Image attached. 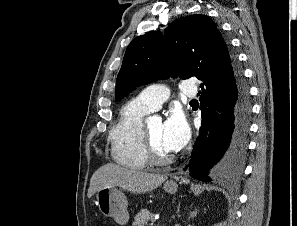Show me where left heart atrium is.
I'll use <instances>...</instances> for the list:
<instances>
[{"mask_svg": "<svg viewBox=\"0 0 297 226\" xmlns=\"http://www.w3.org/2000/svg\"><path fill=\"white\" fill-rule=\"evenodd\" d=\"M188 126L183 116L173 112L163 123L162 144L169 152L182 149L188 141Z\"/></svg>", "mask_w": 297, "mask_h": 226, "instance_id": "left-heart-atrium-1", "label": "left heart atrium"}]
</instances>
